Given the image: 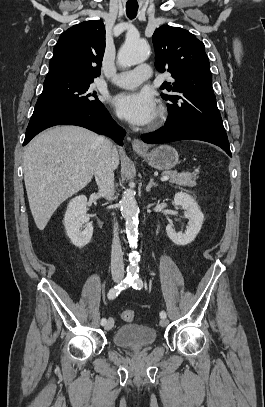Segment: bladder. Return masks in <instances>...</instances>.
I'll list each match as a JSON object with an SVG mask.
<instances>
[{
  "mask_svg": "<svg viewBox=\"0 0 265 407\" xmlns=\"http://www.w3.org/2000/svg\"><path fill=\"white\" fill-rule=\"evenodd\" d=\"M157 333L154 328L145 325L124 324L113 335L117 346L129 349H142L154 344Z\"/></svg>",
  "mask_w": 265,
  "mask_h": 407,
  "instance_id": "1",
  "label": "bladder"
}]
</instances>
